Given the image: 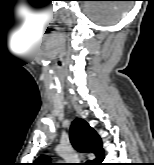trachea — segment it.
Segmentation results:
<instances>
[{
  "label": "trachea",
  "mask_w": 154,
  "mask_h": 165,
  "mask_svg": "<svg viewBox=\"0 0 154 165\" xmlns=\"http://www.w3.org/2000/svg\"><path fill=\"white\" fill-rule=\"evenodd\" d=\"M83 165H90V161H87L86 163H83Z\"/></svg>",
  "instance_id": "3493384b"
}]
</instances>
